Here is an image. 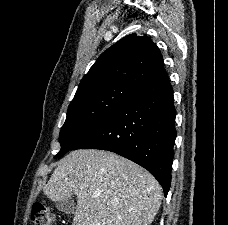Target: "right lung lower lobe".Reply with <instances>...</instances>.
Here are the masks:
<instances>
[{
  "label": "right lung lower lobe",
  "instance_id": "right-lung-lower-lobe-1",
  "mask_svg": "<svg viewBox=\"0 0 228 225\" xmlns=\"http://www.w3.org/2000/svg\"><path fill=\"white\" fill-rule=\"evenodd\" d=\"M173 89L164 69L72 148L117 153L147 169L167 196L176 138Z\"/></svg>",
  "mask_w": 228,
  "mask_h": 225
}]
</instances>
